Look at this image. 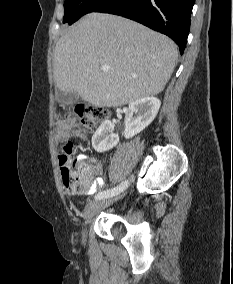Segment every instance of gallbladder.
Segmentation results:
<instances>
[{
  "label": "gallbladder",
  "instance_id": "obj_1",
  "mask_svg": "<svg viewBox=\"0 0 233 284\" xmlns=\"http://www.w3.org/2000/svg\"><path fill=\"white\" fill-rule=\"evenodd\" d=\"M80 99V96L75 93V92H69L64 94L63 92H58V100L59 102L66 104V105H71L76 103Z\"/></svg>",
  "mask_w": 233,
  "mask_h": 284
}]
</instances>
